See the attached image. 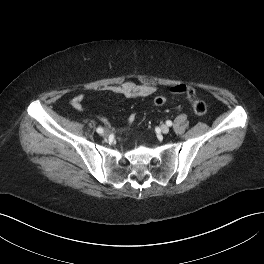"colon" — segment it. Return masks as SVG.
<instances>
[{
    "label": "colon",
    "mask_w": 264,
    "mask_h": 264,
    "mask_svg": "<svg viewBox=\"0 0 264 264\" xmlns=\"http://www.w3.org/2000/svg\"><path fill=\"white\" fill-rule=\"evenodd\" d=\"M185 93H186L188 102H189L191 108L193 109V111L199 116L205 115L207 113V106L203 101L199 100L196 97V92H195L194 88L187 87ZM166 101H167L166 97L162 96V95H158L154 98V103L157 106L164 105L166 103Z\"/></svg>",
    "instance_id": "colon-1"
}]
</instances>
